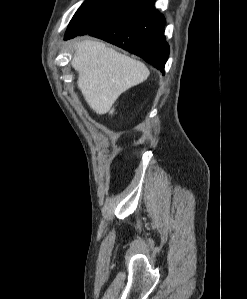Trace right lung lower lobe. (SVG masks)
<instances>
[{
    "label": "right lung lower lobe",
    "instance_id": "98d812e1",
    "mask_svg": "<svg viewBox=\"0 0 247 299\" xmlns=\"http://www.w3.org/2000/svg\"><path fill=\"white\" fill-rule=\"evenodd\" d=\"M155 0H136L122 16L88 34L119 46L164 72L169 55L165 41V18ZM73 37H67L70 39Z\"/></svg>",
    "mask_w": 247,
    "mask_h": 299
}]
</instances>
